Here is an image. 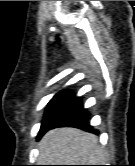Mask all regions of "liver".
<instances>
[{
    "instance_id": "6515ba94",
    "label": "liver",
    "mask_w": 135,
    "mask_h": 166,
    "mask_svg": "<svg viewBox=\"0 0 135 166\" xmlns=\"http://www.w3.org/2000/svg\"><path fill=\"white\" fill-rule=\"evenodd\" d=\"M41 165H100L105 153L98 138L76 128L48 131L38 144Z\"/></svg>"
}]
</instances>
